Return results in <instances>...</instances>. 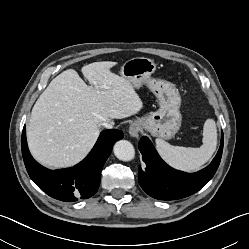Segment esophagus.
<instances>
[{"label": "esophagus", "instance_id": "obj_1", "mask_svg": "<svg viewBox=\"0 0 249 249\" xmlns=\"http://www.w3.org/2000/svg\"><path fill=\"white\" fill-rule=\"evenodd\" d=\"M140 130H141V124L139 122H133L129 127V134L132 137L137 138L139 136Z\"/></svg>", "mask_w": 249, "mask_h": 249}]
</instances>
